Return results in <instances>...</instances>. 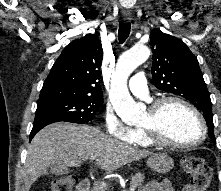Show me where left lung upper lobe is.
Listing matches in <instances>:
<instances>
[{"label": "left lung upper lobe", "mask_w": 221, "mask_h": 191, "mask_svg": "<svg viewBox=\"0 0 221 191\" xmlns=\"http://www.w3.org/2000/svg\"><path fill=\"white\" fill-rule=\"evenodd\" d=\"M150 43L155 87L180 95L194 104L207 121L208 136L216 143L210 94L196 56L182 40L158 29L150 33Z\"/></svg>", "instance_id": "obj_1"}]
</instances>
